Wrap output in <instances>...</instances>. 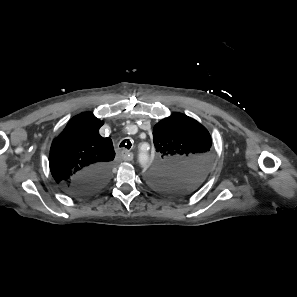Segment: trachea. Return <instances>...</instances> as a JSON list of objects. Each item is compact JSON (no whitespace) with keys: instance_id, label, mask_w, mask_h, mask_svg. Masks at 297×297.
Here are the masks:
<instances>
[{"instance_id":"trachea-1","label":"trachea","mask_w":297,"mask_h":297,"mask_svg":"<svg viewBox=\"0 0 297 297\" xmlns=\"http://www.w3.org/2000/svg\"><path fill=\"white\" fill-rule=\"evenodd\" d=\"M131 146H132V144H131V142H130L129 139H125V140H123V141L120 143V145H119V147H124V148H126V149H130Z\"/></svg>"}]
</instances>
